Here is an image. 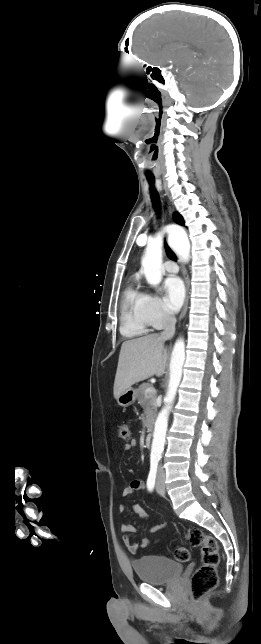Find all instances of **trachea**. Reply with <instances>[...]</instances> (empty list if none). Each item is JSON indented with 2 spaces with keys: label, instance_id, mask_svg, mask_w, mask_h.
<instances>
[{
  "label": "trachea",
  "instance_id": "1",
  "mask_svg": "<svg viewBox=\"0 0 261 644\" xmlns=\"http://www.w3.org/2000/svg\"><path fill=\"white\" fill-rule=\"evenodd\" d=\"M149 183H150V186H151V197H152V200H153V202H154V205H155L156 207H158V206H159V196H158V193L156 192L155 188L153 187L154 180H149ZM165 248H166V253H167L168 257H169L170 259H172V260L176 261V260H177V258H176V256H175L174 252H173V251L168 247V245H167V244L165 245Z\"/></svg>",
  "mask_w": 261,
  "mask_h": 644
}]
</instances>
